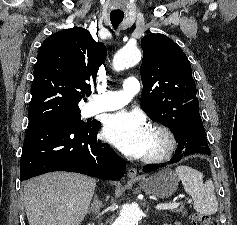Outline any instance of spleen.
Returning a JSON list of instances; mask_svg holds the SVG:
<instances>
[{"label": "spleen", "instance_id": "3e777b00", "mask_svg": "<svg viewBox=\"0 0 237 225\" xmlns=\"http://www.w3.org/2000/svg\"><path fill=\"white\" fill-rule=\"evenodd\" d=\"M176 175L182 181L185 192L192 196L194 209L202 215H212L218 210L212 181L203 183V174L189 166H177Z\"/></svg>", "mask_w": 237, "mask_h": 225}]
</instances>
